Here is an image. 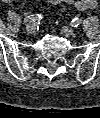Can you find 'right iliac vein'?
<instances>
[{"instance_id":"obj_1","label":"right iliac vein","mask_w":100,"mask_h":118,"mask_svg":"<svg viewBox=\"0 0 100 118\" xmlns=\"http://www.w3.org/2000/svg\"><path fill=\"white\" fill-rule=\"evenodd\" d=\"M35 26L32 25V24H29L27 27H26V31L28 34H34L35 33Z\"/></svg>"}]
</instances>
